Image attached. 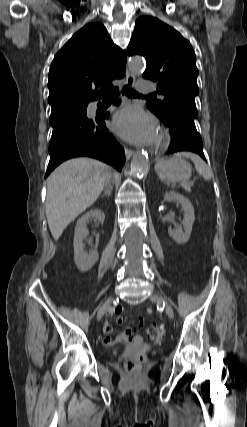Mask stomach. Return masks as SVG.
<instances>
[{"label":"stomach","mask_w":247,"mask_h":427,"mask_svg":"<svg viewBox=\"0 0 247 427\" xmlns=\"http://www.w3.org/2000/svg\"><path fill=\"white\" fill-rule=\"evenodd\" d=\"M161 180L165 182H184L191 176L192 169L190 164L182 157H174L169 160L161 161L160 166L156 168Z\"/></svg>","instance_id":"obj_1"}]
</instances>
